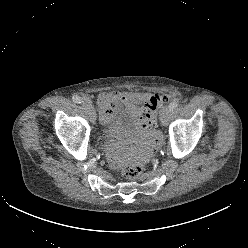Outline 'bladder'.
Listing matches in <instances>:
<instances>
[{"label":"bladder","mask_w":248,"mask_h":248,"mask_svg":"<svg viewBox=\"0 0 248 248\" xmlns=\"http://www.w3.org/2000/svg\"><path fill=\"white\" fill-rule=\"evenodd\" d=\"M130 119L124 111H120L118 115L105 126L104 136L107 138H115L125 134L129 128Z\"/></svg>","instance_id":"31cf9c89"}]
</instances>
